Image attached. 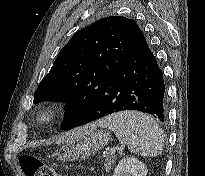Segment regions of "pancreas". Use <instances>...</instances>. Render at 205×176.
I'll list each match as a JSON object with an SVG mask.
<instances>
[{
  "label": "pancreas",
  "mask_w": 205,
  "mask_h": 176,
  "mask_svg": "<svg viewBox=\"0 0 205 176\" xmlns=\"http://www.w3.org/2000/svg\"><path fill=\"white\" fill-rule=\"evenodd\" d=\"M116 156L109 155L105 159V170L107 173L112 169L113 164L115 163Z\"/></svg>",
  "instance_id": "1"
}]
</instances>
